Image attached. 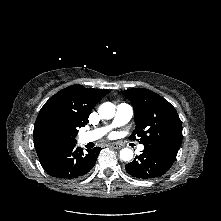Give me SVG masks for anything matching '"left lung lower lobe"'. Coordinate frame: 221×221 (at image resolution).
<instances>
[{"label": "left lung lower lobe", "mask_w": 221, "mask_h": 221, "mask_svg": "<svg viewBox=\"0 0 221 221\" xmlns=\"http://www.w3.org/2000/svg\"><path fill=\"white\" fill-rule=\"evenodd\" d=\"M178 149L162 144L144 145L142 154L125 166L126 171L139 179L160 177L172 166Z\"/></svg>", "instance_id": "0a47b994"}]
</instances>
